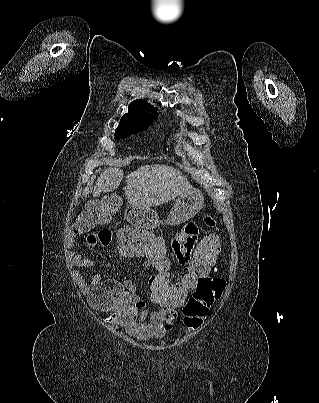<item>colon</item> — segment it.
Wrapping results in <instances>:
<instances>
[{"label": "colon", "mask_w": 319, "mask_h": 403, "mask_svg": "<svg viewBox=\"0 0 319 403\" xmlns=\"http://www.w3.org/2000/svg\"><path fill=\"white\" fill-rule=\"evenodd\" d=\"M120 204L118 192H106L104 198L93 197L85 204L87 210L78 217L76 230L84 233L96 224L108 223ZM204 221L210 227L217 224L210 216ZM210 237L213 238H201L190 250L192 260L183 267L179 282H171L170 268L176 267V260L171 259V252H166L169 249L167 234H151L141 226H122L118 234L110 238L121 260H144V268H153L149 273V304H157V313H179L176 329L180 341L202 331L201 325L211 316V305H217L226 292V281L217 283L215 276H209L211 267L223 258L224 242L219 232ZM197 285L199 291L195 289ZM194 290L198 296H191Z\"/></svg>", "instance_id": "5ec220e1"}]
</instances>
